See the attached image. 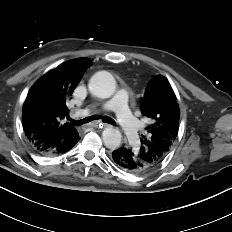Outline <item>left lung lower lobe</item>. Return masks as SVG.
<instances>
[{
    "label": "left lung lower lobe",
    "instance_id": "left-lung-lower-lobe-1",
    "mask_svg": "<svg viewBox=\"0 0 232 232\" xmlns=\"http://www.w3.org/2000/svg\"><path fill=\"white\" fill-rule=\"evenodd\" d=\"M111 157L117 167L130 173H144L152 168L151 165L139 158L131 148H118L112 152Z\"/></svg>",
    "mask_w": 232,
    "mask_h": 232
}]
</instances>
